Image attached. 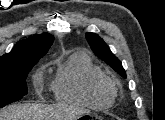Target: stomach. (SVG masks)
I'll use <instances>...</instances> for the list:
<instances>
[{
  "instance_id": "obj_1",
  "label": "stomach",
  "mask_w": 165,
  "mask_h": 120,
  "mask_svg": "<svg viewBox=\"0 0 165 120\" xmlns=\"http://www.w3.org/2000/svg\"><path fill=\"white\" fill-rule=\"evenodd\" d=\"M89 117L95 118V119H100V117L97 114L91 113V112H84V113L80 114L77 119H87Z\"/></svg>"
}]
</instances>
